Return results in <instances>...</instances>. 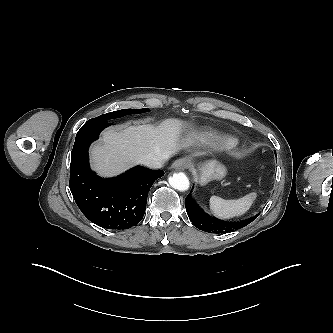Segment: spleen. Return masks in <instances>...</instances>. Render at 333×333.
I'll list each match as a JSON object with an SVG mask.
<instances>
[{
	"label": "spleen",
	"instance_id": "spleen-1",
	"mask_svg": "<svg viewBox=\"0 0 333 333\" xmlns=\"http://www.w3.org/2000/svg\"><path fill=\"white\" fill-rule=\"evenodd\" d=\"M256 196L255 192L234 200H224L220 197L212 196L210 198V209L215 216L221 219L241 216L250 209Z\"/></svg>",
	"mask_w": 333,
	"mask_h": 333
}]
</instances>
